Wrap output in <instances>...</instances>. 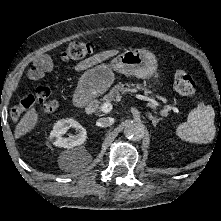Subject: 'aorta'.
Wrapping results in <instances>:
<instances>
[{
  "mask_svg": "<svg viewBox=\"0 0 221 221\" xmlns=\"http://www.w3.org/2000/svg\"><path fill=\"white\" fill-rule=\"evenodd\" d=\"M144 131V125L140 122L128 120L125 123L124 135L128 139H132L134 141L141 140L144 136Z\"/></svg>",
  "mask_w": 221,
  "mask_h": 221,
  "instance_id": "aorta-1",
  "label": "aorta"
}]
</instances>
